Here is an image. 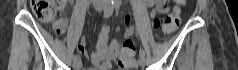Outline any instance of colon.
Here are the masks:
<instances>
[{"instance_id": "1", "label": "colon", "mask_w": 238, "mask_h": 70, "mask_svg": "<svg viewBox=\"0 0 238 70\" xmlns=\"http://www.w3.org/2000/svg\"><path fill=\"white\" fill-rule=\"evenodd\" d=\"M64 0H33L31 1V7L35 15L44 21H50L54 18L56 12L63 8ZM178 5L181 7L184 0H177ZM179 24L178 11L175 10L169 16H167L162 22V30L165 33L174 31ZM154 26H159L158 21L154 22ZM132 33H125L122 36V44L120 54H116L118 59V66L120 69H129L134 64L133 54H135V47L131 40Z\"/></svg>"}]
</instances>
